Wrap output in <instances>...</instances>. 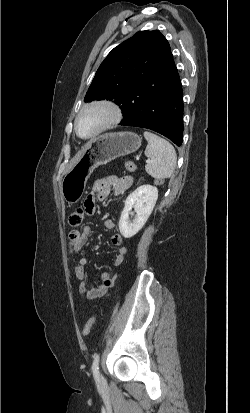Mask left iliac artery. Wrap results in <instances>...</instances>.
<instances>
[{
  "label": "left iliac artery",
  "mask_w": 250,
  "mask_h": 413,
  "mask_svg": "<svg viewBox=\"0 0 250 413\" xmlns=\"http://www.w3.org/2000/svg\"><path fill=\"white\" fill-rule=\"evenodd\" d=\"M99 354H96L92 364V372L96 381H99Z\"/></svg>",
  "instance_id": "left-iliac-artery-1"
}]
</instances>
